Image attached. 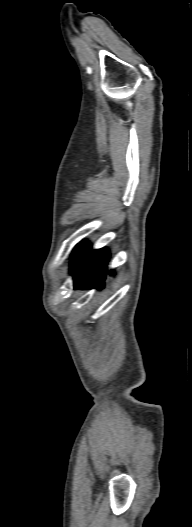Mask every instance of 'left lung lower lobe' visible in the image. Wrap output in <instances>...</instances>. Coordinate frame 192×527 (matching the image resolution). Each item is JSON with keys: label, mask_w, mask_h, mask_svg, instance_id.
Masks as SVG:
<instances>
[{"label": "left lung lower lobe", "mask_w": 192, "mask_h": 527, "mask_svg": "<svg viewBox=\"0 0 192 527\" xmlns=\"http://www.w3.org/2000/svg\"><path fill=\"white\" fill-rule=\"evenodd\" d=\"M108 258L107 250L92 251L88 242L80 243L75 248L71 260L70 270L74 278V288L82 290L103 288Z\"/></svg>", "instance_id": "0a47b994"}]
</instances>
